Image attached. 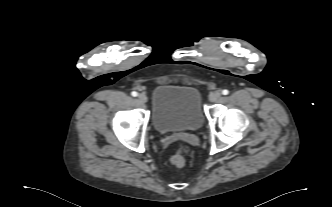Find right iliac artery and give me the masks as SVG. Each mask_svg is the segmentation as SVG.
<instances>
[{"label":"right iliac artery","instance_id":"82829eb1","mask_svg":"<svg viewBox=\"0 0 332 207\" xmlns=\"http://www.w3.org/2000/svg\"><path fill=\"white\" fill-rule=\"evenodd\" d=\"M131 95H132L133 97H136V96L138 95V93H137L136 91H133V92L131 93Z\"/></svg>","mask_w":332,"mask_h":207}]
</instances>
